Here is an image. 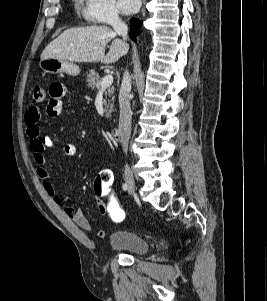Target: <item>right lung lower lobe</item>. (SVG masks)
I'll use <instances>...</instances> for the list:
<instances>
[{
	"label": "right lung lower lobe",
	"instance_id": "obj_1",
	"mask_svg": "<svg viewBox=\"0 0 267 301\" xmlns=\"http://www.w3.org/2000/svg\"><path fill=\"white\" fill-rule=\"evenodd\" d=\"M142 25V21L139 19H130L131 38L136 41V36L140 33L139 29Z\"/></svg>",
	"mask_w": 267,
	"mask_h": 301
}]
</instances>
